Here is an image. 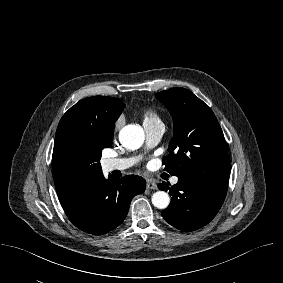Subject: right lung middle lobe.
Masks as SVG:
<instances>
[{"mask_svg": "<svg viewBox=\"0 0 283 283\" xmlns=\"http://www.w3.org/2000/svg\"><path fill=\"white\" fill-rule=\"evenodd\" d=\"M112 141L103 140L85 130H77L71 145L72 164L79 170L101 168L99 160L102 150L109 148Z\"/></svg>", "mask_w": 283, "mask_h": 283, "instance_id": "dd1d6c3e", "label": "right lung middle lobe"}]
</instances>
